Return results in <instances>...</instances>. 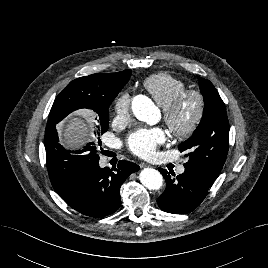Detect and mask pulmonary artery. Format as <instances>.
<instances>
[{"mask_svg":"<svg viewBox=\"0 0 268 268\" xmlns=\"http://www.w3.org/2000/svg\"><path fill=\"white\" fill-rule=\"evenodd\" d=\"M176 171H177V173H179V174H183L184 171H185V167H184V165H179V166H177Z\"/></svg>","mask_w":268,"mask_h":268,"instance_id":"e3ab8cb5","label":"pulmonary artery"}]
</instances>
